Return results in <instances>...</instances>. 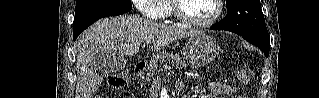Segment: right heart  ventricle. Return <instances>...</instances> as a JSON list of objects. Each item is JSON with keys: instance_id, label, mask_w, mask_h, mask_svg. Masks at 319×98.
Segmentation results:
<instances>
[{"instance_id": "e07e8e85", "label": "right heart ventricle", "mask_w": 319, "mask_h": 98, "mask_svg": "<svg viewBox=\"0 0 319 98\" xmlns=\"http://www.w3.org/2000/svg\"><path fill=\"white\" fill-rule=\"evenodd\" d=\"M158 7L161 8V10L163 11L164 15L168 16L171 14V6L170 4H167V1H161L158 4Z\"/></svg>"}]
</instances>
